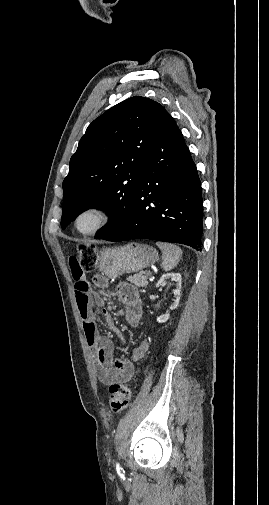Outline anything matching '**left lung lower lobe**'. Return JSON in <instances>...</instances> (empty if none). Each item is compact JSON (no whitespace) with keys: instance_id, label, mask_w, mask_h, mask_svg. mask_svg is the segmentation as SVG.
I'll return each instance as SVG.
<instances>
[{"instance_id":"1","label":"left lung lower lobe","mask_w":269,"mask_h":505,"mask_svg":"<svg viewBox=\"0 0 269 505\" xmlns=\"http://www.w3.org/2000/svg\"><path fill=\"white\" fill-rule=\"evenodd\" d=\"M202 232L200 179L182 133L167 113L150 143L129 219L102 239H152L201 251Z\"/></svg>"}]
</instances>
